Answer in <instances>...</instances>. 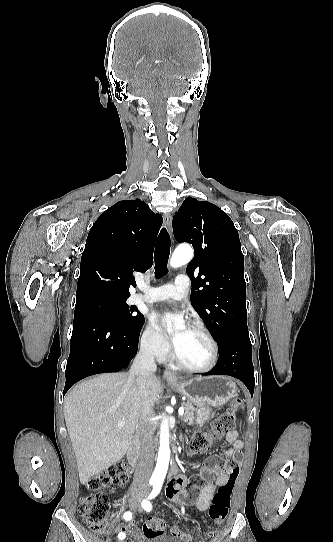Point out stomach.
Here are the masks:
<instances>
[{
  "label": "stomach",
  "mask_w": 333,
  "mask_h": 542,
  "mask_svg": "<svg viewBox=\"0 0 333 542\" xmlns=\"http://www.w3.org/2000/svg\"><path fill=\"white\" fill-rule=\"evenodd\" d=\"M176 392L196 404V424L203 426L212 416V408H219L238 396V388L232 378L226 376H203L192 380H177L169 384Z\"/></svg>",
  "instance_id": "0dacf381"
}]
</instances>
